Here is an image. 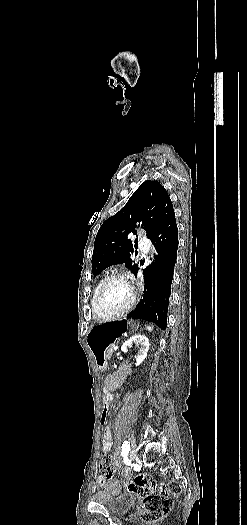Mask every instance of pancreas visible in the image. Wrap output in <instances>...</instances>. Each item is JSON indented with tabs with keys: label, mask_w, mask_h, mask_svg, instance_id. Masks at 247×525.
<instances>
[{
	"label": "pancreas",
	"mask_w": 247,
	"mask_h": 525,
	"mask_svg": "<svg viewBox=\"0 0 247 525\" xmlns=\"http://www.w3.org/2000/svg\"><path fill=\"white\" fill-rule=\"evenodd\" d=\"M113 352H114L113 347L106 348L104 350L105 355H103V360L110 361L112 359L111 355L113 354Z\"/></svg>",
	"instance_id": "cf45deb5"
}]
</instances>
